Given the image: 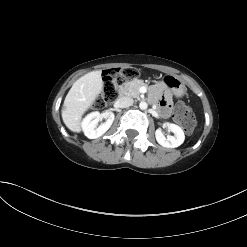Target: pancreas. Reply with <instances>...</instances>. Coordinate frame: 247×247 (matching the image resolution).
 <instances>
[{"instance_id":"pancreas-1","label":"pancreas","mask_w":247,"mask_h":247,"mask_svg":"<svg viewBox=\"0 0 247 247\" xmlns=\"http://www.w3.org/2000/svg\"><path fill=\"white\" fill-rule=\"evenodd\" d=\"M144 85L145 83L142 80L138 79L125 82L119 87V93L122 95H128L139 99V97L141 96L139 89Z\"/></svg>"}]
</instances>
